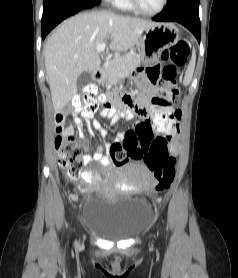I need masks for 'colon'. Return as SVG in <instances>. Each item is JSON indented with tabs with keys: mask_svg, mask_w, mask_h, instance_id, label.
Here are the masks:
<instances>
[{
	"mask_svg": "<svg viewBox=\"0 0 238 278\" xmlns=\"http://www.w3.org/2000/svg\"><path fill=\"white\" fill-rule=\"evenodd\" d=\"M189 54L187 42L181 40L162 53L161 81L155 95L150 100L152 105L151 118L147 125L153 127L154 133L168 135L175 128V106L179 89L177 86L178 70L186 62ZM96 89L92 85L85 86L72 100L76 109H84L94 113L98 108L95 98ZM123 100H133L124 96ZM152 137H140V144L132 141L113 143L109 149L114 165L119 166L128 160L143 159L156 179V190L163 191L170 187L175 177L173 150L168 144H150ZM55 147L59 154V165L71 178L81 176L82 155L84 147L78 143L73 134L58 133Z\"/></svg>",
	"mask_w": 238,
	"mask_h": 278,
	"instance_id": "obj_1",
	"label": "colon"
}]
</instances>
